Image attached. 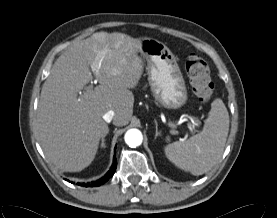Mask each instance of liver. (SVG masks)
Wrapping results in <instances>:
<instances>
[{
	"instance_id": "liver-1",
	"label": "liver",
	"mask_w": 277,
	"mask_h": 218,
	"mask_svg": "<svg viewBox=\"0 0 277 218\" xmlns=\"http://www.w3.org/2000/svg\"><path fill=\"white\" fill-rule=\"evenodd\" d=\"M141 47V41L129 35L98 32L74 43L55 61L42 86L36 134L57 168L77 172L92 163L108 132L103 119L107 111L115 112L114 125L129 123L134 104L130 89L143 74ZM92 74L99 85L78 96Z\"/></svg>"
}]
</instances>
